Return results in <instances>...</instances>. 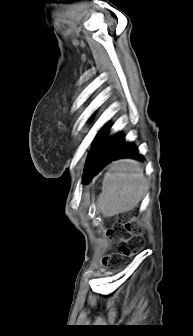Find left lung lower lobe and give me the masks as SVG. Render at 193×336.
I'll list each match as a JSON object with an SVG mask.
<instances>
[{"label":"left lung lower lobe","mask_w":193,"mask_h":336,"mask_svg":"<svg viewBox=\"0 0 193 336\" xmlns=\"http://www.w3.org/2000/svg\"><path fill=\"white\" fill-rule=\"evenodd\" d=\"M109 129H102L95 137L89 152L83 174V183H87L107 163L120 158L142 159L132 143H126L121 135L107 137Z\"/></svg>","instance_id":"left-lung-lower-lobe-1"}]
</instances>
